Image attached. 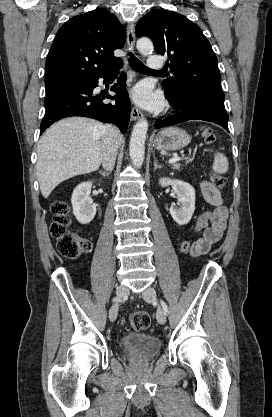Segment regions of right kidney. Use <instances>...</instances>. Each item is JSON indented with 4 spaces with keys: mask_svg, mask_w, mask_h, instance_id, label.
I'll use <instances>...</instances> for the list:
<instances>
[{
    "mask_svg": "<svg viewBox=\"0 0 272 417\" xmlns=\"http://www.w3.org/2000/svg\"><path fill=\"white\" fill-rule=\"evenodd\" d=\"M92 182H83L73 191L71 203L73 214L81 224H88L96 214V205L90 197Z\"/></svg>",
    "mask_w": 272,
    "mask_h": 417,
    "instance_id": "obj_1",
    "label": "right kidney"
}]
</instances>
